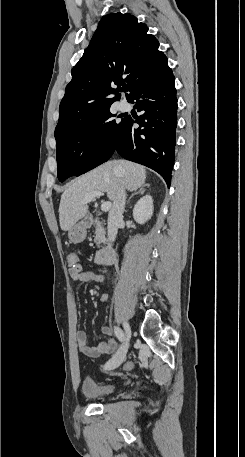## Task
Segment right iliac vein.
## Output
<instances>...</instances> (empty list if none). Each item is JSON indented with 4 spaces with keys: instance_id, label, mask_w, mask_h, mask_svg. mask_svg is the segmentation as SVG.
Wrapping results in <instances>:
<instances>
[{
    "instance_id": "1",
    "label": "right iliac vein",
    "mask_w": 245,
    "mask_h": 457,
    "mask_svg": "<svg viewBox=\"0 0 245 457\" xmlns=\"http://www.w3.org/2000/svg\"><path fill=\"white\" fill-rule=\"evenodd\" d=\"M124 328H125V331L127 334V338L124 340V343L122 344V346L117 350L116 354L111 359H109L107 361V363L105 364L106 370H113V369L117 368L118 366L121 365V363L124 361V359L126 357V352H127V348H128V344H129L130 334H131L130 326H129L128 322L124 323Z\"/></svg>"
}]
</instances>
